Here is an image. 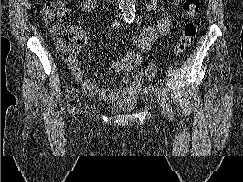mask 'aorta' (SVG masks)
<instances>
[{
  "label": "aorta",
  "instance_id": "1",
  "mask_svg": "<svg viewBox=\"0 0 243 182\" xmlns=\"http://www.w3.org/2000/svg\"><path fill=\"white\" fill-rule=\"evenodd\" d=\"M119 8L126 21L133 20L135 17V0H118Z\"/></svg>",
  "mask_w": 243,
  "mask_h": 182
}]
</instances>
